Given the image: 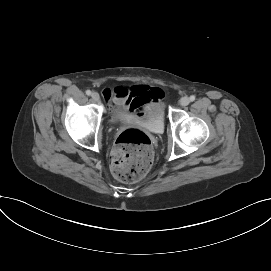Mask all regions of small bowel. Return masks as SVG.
<instances>
[{"mask_svg":"<svg viewBox=\"0 0 271 271\" xmlns=\"http://www.w3.org/2000/svg\"><path fill=\"white\" fill-rule=\"evenodd\" d=\"M103 96L111 106H119L124 111L144 116L148 106L157 107L160 104L164 93L157 87L136 85L131 89L105 88Z\"/></svg>","mask_w":271,"mask_h":271,"instance_id":"obj_1","label":"small bowel"}]
</instances>
